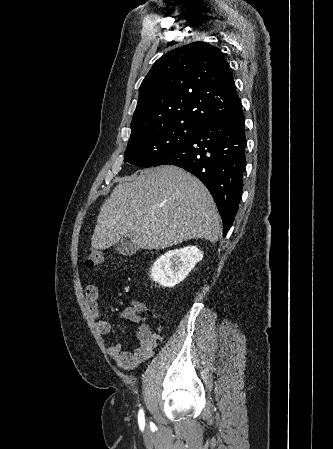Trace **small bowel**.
<instances>
[{"label": "small bowel", "mask_w": 333, "mask_h": 449, "mask_svg": "<svg viewBox=\"0 0 333 449\" xmlns=\"http://www.w3.org/2000/svg\"><path fill=\"white\" fill-rule=\"evenodd\" d=\"M85 296L89 315L94 320L97 331L102 335L109 334L111 324L108 320L101 317L98 304L99 289L95 282H89L86 285ZM121 317L140 323L136 332L138 345L133 351H124L121 343H111L107 346V353L119 367L128 370L136 368L150 358L160 343L161 337L153 333L151 328L143 323V318L133 308H126L121 313Z\"/></svg>", "instance_id": "obj_1"}]
</instances>
